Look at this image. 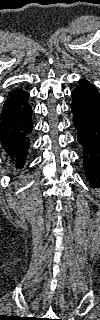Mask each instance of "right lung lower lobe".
Returning a JSON list of instances; mask_svg holds the SVG:
<instances>
[{
    "mask_svg": "<svg viewBox=\"0 0 100 320\" xmlns=\"http://www.w3.org/2000/svg\"><path fill=\"white\" fill-rule=\"evenodd\" d=\"M0 120L1 144L7 159L17 168H22L33 131L32 109L27 91L20 89L17 93L9 94L3 105Z\"/></svg>",
    "mask_w": 100,
    "mask_h": 320,
    "instance_id": "right-lung-lower-lobe-1",
    "label": "right lung lower lobe"
}]
</instances>
